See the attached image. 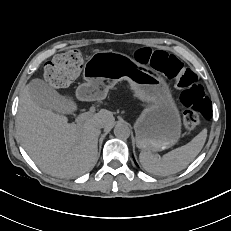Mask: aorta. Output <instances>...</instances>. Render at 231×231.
Segmentation results:
<instances>
[{
  "label": "aorta",
  "instance_id": "762f6f07",
  "mask_svg": "<svg viewBox=\"0 0 231 231\" xmlns=\"http://www.w3.org/2000/svg\"><path fill=\"white\" fill-rule=\"evenodd\" d=\"M114 134L117 138L127 139L130 136V129L125 124H117L114 128Z\"/></svg>",
  "mask_w": 231,
  "mask_h": 231
}]
</instances>
